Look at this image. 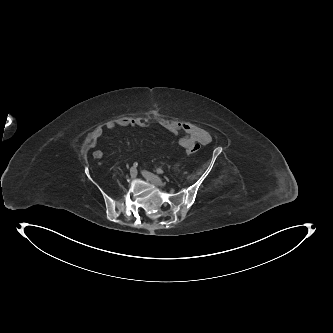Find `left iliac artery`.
<instances>
[{"label": "left iliac artery", "instance_id": "1", "mask_svg": "<svg viewBox=\"0 0 333 333\" xmlns=\"http://www.w3.org/2000/svg\"><path fill=\"white\" fill-rule=\"evenodd\" d=\"M158 174H163L164 171L161 168H156L155 170Z\"/></svg>", "mask_w": 333, "mask_h": 333}]
</instances>
